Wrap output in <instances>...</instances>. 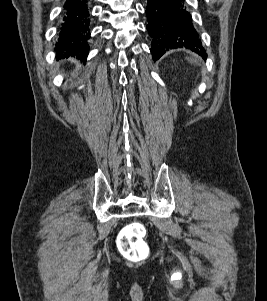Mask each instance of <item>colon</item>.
<instances>
[{
    "label": "colon",
    "mask_w": 267,
    "mask_h": 301,
    "mask_svg": "<svg viewBox=\"0 0 267 301\" xmlns=\"http://www.w3.org/2000/svg\"><path fill=\"white\" fill-rule=\"evenodd\" d=\"M145 227L140 222H132L122 229L118 238V247L122 255L133 262L144 260L149 248L144 240Z\"/></svg>",
    "instance_id": "1"
}]
</instances>
